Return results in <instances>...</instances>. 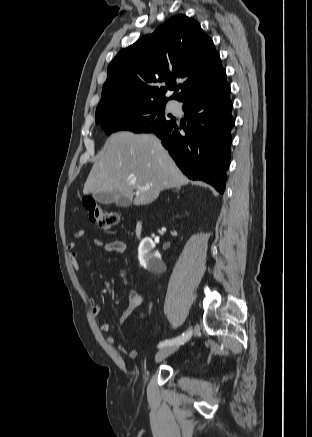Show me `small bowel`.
<instances>
[{
    "mask_svg": "<svg viewBox=\"0 0 312 437\" xmlns=\"http://www.w3.org/2000/svg\"><path fill=\"white\" fill-rule=\"evenodd\" d=\"M84 235H85L84 230H78L75 232L74 238L79 239V238H82ZM94 243L96 246L102 247L103 250L105 252H108V253H124L126 251V247H127L126 243L122 240L103 242L100 239H96L94 241ZM75 248H76L75 242L72 241V242H69L67 244L69 259H70L73 267L76 270H78L79 269L78 263H77L78 254H77ZM143 300H144V298L139 292H137L136 290H131L129 293L128 304H127L125 310L120 315V317L118 319V323L121 324V323L125 322L130 317L132 312L143 303ZM90 304H91V308H92V313L95 316H98L102 310L101 305L99 303H97L94 298L90 299ZM110 328H111V323L109 321H103L100 325V330L103 333L109 332ZM106 341L109 345L116 344L115 337H113L111 335L107 336ZM118 350L130 358H134L136 356V351L132 348H127L123 345H118Z\"/></svg>",
    "mask_w": 312,
    "mask_h": 437,
    "instance_id": "small-bowel-1",
    "label": "small bowel"
}]
</instances>
